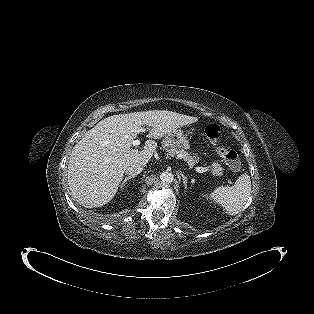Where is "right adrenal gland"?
I'll list each match as a JSON object with an SVG mask.
<instances>
[{"mask_svg": "<svg viewBox=\"0 0 314 314\" xmlns=\"http://www.w3.org/2000/svg\"><path fill=\"white\" fill-rule=\"evenodd\" d=\"M133 178H134L133 176L125 177V179L122 181V183L120 185V188L122 189L123 186H125L127 184V181L130 180V179H133Z\"/></svg>", "mask_w": 314, "mask_h": 314, "instance_id": "1", "label": "right adrenal gland"}]
</instances>
